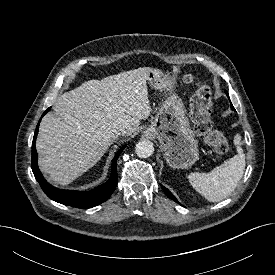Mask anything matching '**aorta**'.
Returning a JSON list of instances; mask_svg holds the SVG:
<instances>
[{"label":"aorta","instance_id":"aorta-1","mask_svg":"<svg viewBox=\"0 0 275 275\" xmlns=\"http://www.w3.org/2000/svg\"><path fill=\"white\" fill-rule=\"evenodd\" d=\"M136 154L141 158H148L154 152L153 143L149 140H141L135 146Z\"/></svg>","mask_w":275,"mask_h":275}]
</instances>
